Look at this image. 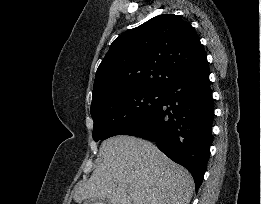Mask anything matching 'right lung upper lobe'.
I'll use <instances>...</instances> for the list:
<instances>
[{
  "label": "right lung upper lobe",
  "mask_w": 261,
  "mask_h": 204,
  "mask_svg": "<svg viewBox=\"0 0 261 204\" xmlns=\"http://www.w3.org/2000/svg\"><path fill=\"white\" fill-rule=\"evenodd\" d=\"M205 59L189 22L173 14L156 16L111 44L96 72L91 106L117 91H163Z\"/></svg>",
  "instance_id": "1"
}]
</instances>
